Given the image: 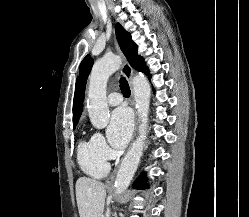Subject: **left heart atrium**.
Instances as JSON below:
<instances>
[{
  "label": "left heart atrium",
  "instance_id": "1",
  "mask_svg": "<svg viewBox=\"0 0 249 217\" xmlns=\"http://www.w3.org/2000/svg\"><path fill=\"white\" fill-rule=\"evenodd\" d=\"M133 129V118L126 107L115 109L110 117L108 139L110 144L121 149L128 143Z\"/></svg>",
  "mask_w": 249,
  "mask_h": 217
}]
</instances>
